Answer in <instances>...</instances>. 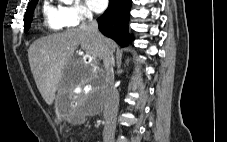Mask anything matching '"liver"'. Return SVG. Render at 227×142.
I'll return each instance as SVG.
<instances>
[{
  "instance_id": "liver-1",
  "label": "liver",
  "mask_w": 227,
  "mask_h": 142,
  "mask_svg": "<svg viewBox=\"0 0 227 142\" xmlns=\"http://www.w3.org/2000/svg\"><path fill=\"white\" fill-rule=\"evenodd\" d=\"M103 41L112 50L115 43L103 36ZM81 47L88 62H82L84 70L73 80L63 83L62 92L74 85H83L96 78L95 67L101 59L98 42L81 28L69 29L34 41L28 49V59L37 88L48 105L64 79V70L70 63L74 51Z\"/></svg>"
}]
</instances>
